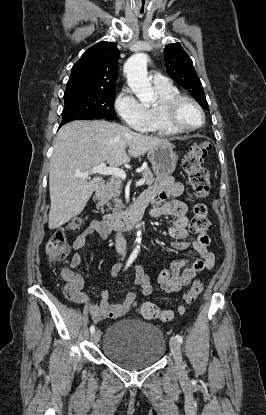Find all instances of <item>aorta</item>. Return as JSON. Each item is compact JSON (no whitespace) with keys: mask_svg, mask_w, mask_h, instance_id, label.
Masks as SVG:
<instances>
[{"mask_svg":"<svg viewBox=\"0 0 266 415\" xmlns=\"http://www.w3.org/2000/svg\"><path fill=\"white\" fill-rule=\"evenodd\" d=\"M147 60L146 54L136 53L124 65L128 85L143 105L150 104L154 99L153 88L147 76ZM136 242V248L140 249L141 231L137 232Z\"/></svg>","mask_w":266,"mask_h":415,"instance_id":"aorta-1","label":"aorta"}]
</instances>
